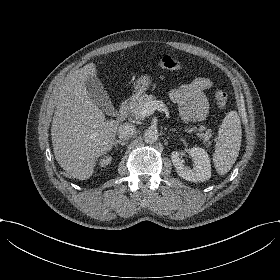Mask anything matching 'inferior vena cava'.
I'll list each match as a JSON object with an SVG mask.
<instances>
[{
	"label": "inferior vena cava",
	"instance_id": "inferior-vena-cava-1",
	"mask_svg": "<svg viewBox=\"0 0 280 280\" xmlns=\"http://www.w3.org/2000/svg\"><path fill=\"white\" fill-rule=\"evenodd\" d=\"M136 132V126L131 123H124L118 128V136L122 140L131 138Z\"/></svg>",
	"mask_w": 280,
	"mask_h": 280
}]
</instances>
